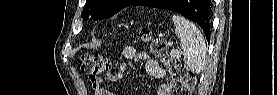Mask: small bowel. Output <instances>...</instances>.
Wrapping results in <instances>:
<instances>
[{
  "label": "small bowel",
  "instance_id": "small-bowel-1",
  "mask_svg": "<svg viewBox=\"0 0 277 95\" xmlns=\"http://www.w3.org/2000/svg\"><path fill=\"white\" fill-rule=\"evenodd\" d=\"M123 58L125 60H143L146 62L147 72L156 77L165 80L159 85L157 94L158 95H171L173 88L175 87L174 79L168 75L160 66L159 61L148 56L144 52H137L133 46H128L123 50ZM125 66L121 65L118 70L114 73H108L106 80L109 82H117L124 78ZM91 84L95 95H111L114 94L107 90L103 86V80L100 77L91 78Z\"/></svg>",
  "mask_w": 277,
  "mask_h": 95
}]
</instances>
